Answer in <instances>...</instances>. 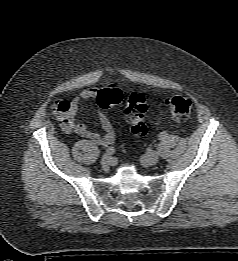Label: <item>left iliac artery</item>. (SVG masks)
Segmentation results:
<instances>
[{"instance_id": "44dca946", "label": "left iliac artery", "mask_w": 238, "mask_h": 261, "mask_svg": "<svg viewBox=\"0 0 238 261\" xmlns=\"http://www.w3.org/2000/svg\"><path fill=\"white\" fill-rule=\"evenodd\" d=\"M168 137V133L167 132H161L160 134H159V139L160 140H164V139H166Z\"/></svg>"}]
</instances>
